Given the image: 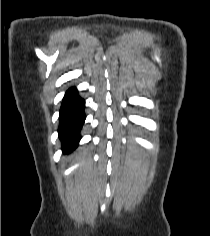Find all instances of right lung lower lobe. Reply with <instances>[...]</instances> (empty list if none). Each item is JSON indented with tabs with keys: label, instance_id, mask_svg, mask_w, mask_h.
I'll return each instance as SVG.
<instances>
[{
	"label": "right lung lower lobe",
	"instance_id": "1",
	"mask_svg": "<svg viewBox=\"0 0 210 236\" xmlns=\"http://www.w3.org/2000/svg\"><path fill=\"white\" fill-rule=\"evenodd\" d=\"M84 105L85 101L78 96L75 88L66 92L60 109L58 129L64 153L71 152L78 145L79 132L85 121Z\"/></svg>",
	"mask_w": 210,
	"mask_h": 236
}]
</instances>
